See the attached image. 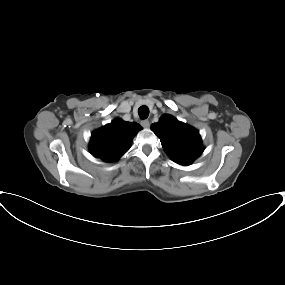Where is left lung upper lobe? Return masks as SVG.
<instances>
[{
	"label": "left lung upper lobe",
	"instance_id": "obj_1",
	"mask_svg": "<svg viewBox=\"0 0 285 285\" xmlns=\"http://www.w3.org/2000/svg\"><path fill=\"white\" fill-rule=\"evenodd\" d=\"M151 130L160 138L167 155L180 165H190L204 151L198 130L165 114Z\"/></svg>",
	"mask_w": 285,
	"mask_h": 285
}]
</instances>
